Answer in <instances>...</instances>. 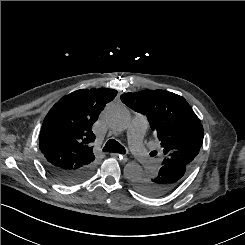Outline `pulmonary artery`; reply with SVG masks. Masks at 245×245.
Returning <instances> with one entry per match:
<instances>
[{"label": "pulmonary artery", "instance_id": "pulmonary-artery-1", "mask_svg": "<svg viewBox=\"0 0 245 245\" xmlns=\"http://www.w3.org/2000/svg\"><path fill=\"white\" fill-rule=\"evenodd\" d=\"M147 126L148 120L144 115H135L128 129V139L131 150L135 154L137 160L145 168H151V159L145 146L142 143V138L147 129Z\"/></svg>", "mask_w": 245, "mask_h": 245}]
</instances>
